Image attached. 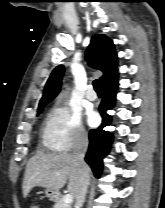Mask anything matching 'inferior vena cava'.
Wrapping results in <instances>:
<instances>
[{
	"label": "inferior vena cava",
	"mask_w": 165,
	"mask_h": 208,
	"mask_svg": "<svg viewBox=\"0 0 165 208\" xmlns=\"http://www.w3.org/2000/svg\"><path fill=\"white\" fill-rule=\"evenodd\" d=\"M87 148L88 136L86 133L81 132L77 137L73 152L71 154L74 163L78 169L81 180V187L76 198L75 208H81L83 206L89 186L88 166L84 161Z\"/></svg>",
	"instance_id": "inferior-vena-cava-1"
}]
</instances>
